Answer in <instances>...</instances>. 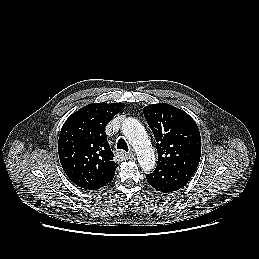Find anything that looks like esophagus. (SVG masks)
I'll return each instance as SVG.
<instances>
[{"instance_id":"34e87169","label":"esophagus","mask_w":259,"mask_h":259,"mask_svg":"<svg viewBox=\"0 0 259 259\" xmlns=\"http://www.w3.org/2000/svg\"><path fill=\"white\" fill-rule=\"evenodd\" d=\"M123 155L126 159H129V160H135L136 158L134 153H124Z\"/></svg>"}]
</instances>
